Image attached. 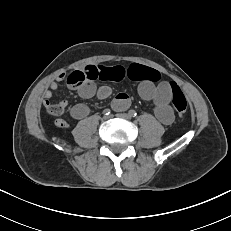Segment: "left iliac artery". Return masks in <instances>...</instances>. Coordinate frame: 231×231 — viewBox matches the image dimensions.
<instances>
[{
    "mask_svg": "<svg viewBox=\"0 0 231 231\" xmlns=\"http://www.w3.org/2000/svg\"><path fill=\"white\" fill-rule=\"evenodd\" d=\"M129 115H130L131 117H136L137 113H136L135 110H130V111H129Z\"/></svg>",
    "mask_w": 231,
    "mask_h": 231,
    "instance_id": "44dca946",
    "label": "left iliac artery"
}]
</instances>
